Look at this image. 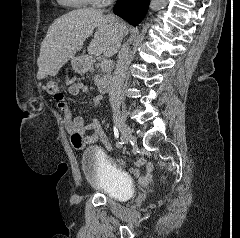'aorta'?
I'll return each mask as SVG.
<instances>
[{"mask_svg":"<svg viewBox=\"0 0 240 238\" xmlns=\"http://www.w3.org/2000/svg\"><path fill=\"white\" fill-rule=\"evenodd\" d=\"M167 0H151L150 2V9L151 10H159L166 4Z\"/></svg>","mask_w":240,"mask_h":238,"instance_id":"762f6f07","label":"aorta"}]
</instances>
